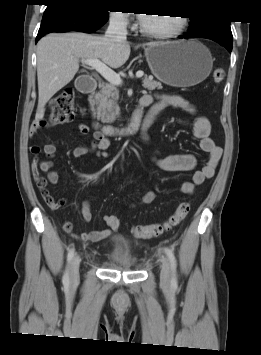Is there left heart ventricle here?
<instances>
[{
    "label": "left heart ventricle",
    "mask_w": 261,
    "mask_h": 355,
    "mask_svg": "<svg viewBox=\"0 0 261 355\" xmlns=\"http://www.w3.org/2000/svg\"><path fill=\"white\" fill-rule=\"evenodd\" d=\"M145 29L156 32H168L174 30L178 25L175 16L148 14L142 20Z\"/></svg>",
    "instance_id": "1"
}]
</instances>
